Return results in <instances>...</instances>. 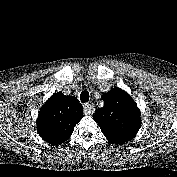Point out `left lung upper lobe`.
<instances>
[{"label":"left lung upper lobe","mask_w":177,"mask_h":177,"mask_svg":"<svg viewBox=\"0 0 177 177\" xmlns=\"http://www.w3.org/2000/svg\"><path fill=\"white\" fill-rule=\"evenodd\" d=\"M104 106L95 111L93 119L104 136L115 144L132 140L141 126L137 104L124 90L115 87L102 95Z\"/></svg>","instance_id":"left-lung-upper-lobe-1"}]
</instances>
